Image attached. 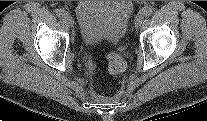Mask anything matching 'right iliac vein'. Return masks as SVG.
I'll use <instances>...</instances> for the list:
<instances>
[{
	"label": "right iliac vein",
	"instance_id": "right-iliac-vein-1",
	"mask_svg": "<svg viewBox=\"0 0 207 121\" xmlns=\"http://www.w3.org/2000/svg\"><path fill=\"white\" fill-rule=\"evenodd\" d=\"M64 21L69 25V26H73V18L70 14H65L64 16Z\"/></svg>",
	"mask_w": 207,
	"mask_h": 121
}]
</instances>
